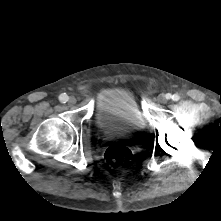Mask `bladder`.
<instances>
[{
  "instance_id": "31cf9c89",
  "label": "bladder",
  "mask_w": 221,
  "mask_h": 221,
  "mask_svg": "<svg viewBox=\"0 0 221 221\" xmlns=\"http://www.w3.org/2000/svg\"><path fill=\"white\" fill-rule=\"evenodd\" d=\"M94 120L105 135L134 134L147 125L133 95L122 88L108 89L98 97Z\"/></svg>"
}]
</instances>
